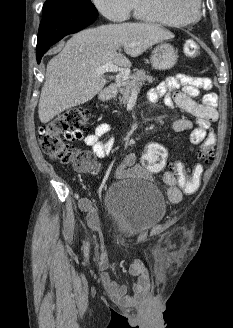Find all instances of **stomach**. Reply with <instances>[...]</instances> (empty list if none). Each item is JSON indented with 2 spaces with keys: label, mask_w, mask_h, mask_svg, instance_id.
Returning <instances> with one entry per match:
<instances>
[{
  "label": "stomach",
  "mask_w": 233,
  "mask_h": 328,
  "mask_svg": "<svg viewBox=\"0 0 233 328\" xmlns=\"http://www.w3.org/2000/svg\"><path fill=\"white\" fill-rule=\"evenodd\" d=\"M177 53L174 47L168 43L161 42L151 51L150 61L155 69L167 70L177 63Z\"/></svg>",
  "instance_id": "stomach-1"
}]
</instances>
